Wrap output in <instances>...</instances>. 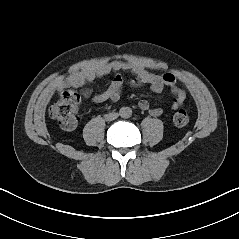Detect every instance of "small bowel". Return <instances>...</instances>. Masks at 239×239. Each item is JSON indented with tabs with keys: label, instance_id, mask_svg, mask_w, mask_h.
<instances>
[{
	"label": "small bowel",
	"instance_id": "1",
	"mask_svg": "<svg viewBox=\"0 0 239 239\" xmlns=\"http://www.w3.org/2000/svg\"><path fill=\"white\" fill-rule=\"evenodd\" d=\"M120 69L124 70H130L134 74V78L130 80V84L133 86H139L143 83H150L154 90L160 91L164 88V86H170L172 87V92L175 96L173 107L178 108L183 104L184 96L180 90H178L176 85V78L172 74H165L164 76H159L155 74H150L146 71H144L140 66L137 65H129V64H123L119 62H115L107 67H105L103 70L105 72L110 70L118 71ZM73 80L78 82H85L87 80H90L93 78L92 73H77L73 77ZM123 84V78L121 75L116 74L113 77V80L109 86V88L97 94L96 99L98 101H104L107 99L116 100L118 98V91L121 88ZM141 107L143 109H148V104L146 102H142ZM153 115H159L161 113L160 108H153L150 110Z\"/></svg>",
	"mask_w": 239,
	"mask_h": 239
}]
</instances>
